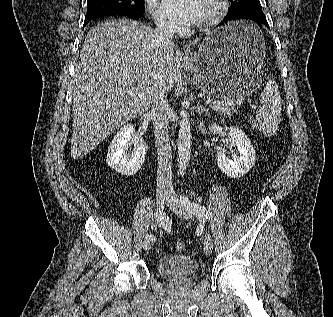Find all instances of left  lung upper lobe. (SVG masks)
Here are the masks:
<instances>
[{
    "label": "left lung upper lobe",
    "mask_w": 333,
    "mask_h": 317,
    "mask_svg": "<svg viewBox=\"0 0 333 317\" xmlns=\"http://www.w3.org/2000/svg\"><path fill=\"white\" fill-rule=\"evenodd\" d=\"M231 3L229 14H235L246 10L262 9L259 0H229Z\"/></svg>",
    "instance_id": "1"
}]
</instances>
